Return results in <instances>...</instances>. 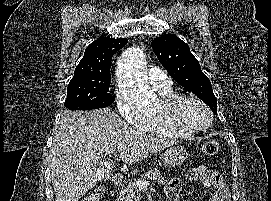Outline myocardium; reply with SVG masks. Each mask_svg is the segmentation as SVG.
I'll return each mask as SVG.
<instances>
[{
    "label": "myocardium",
    "instance_id": "f54148a6",
    "mask_svg": "<svg viewBox=\"0 0 271 201\" xmlns=\"http://www.w3.org/2000/svg\"><path fill=\"white\" fill-rule=\"evenodd\" d=\"M188 101L200 105L207 112L209 121L205 126L192 127L182 121L179 115V108L184 102ZM157 115L172 129L189 135L207 130L214 122L213 112L204 101L193 95L183 93H171L166 96H162L160 101V109L157 112Z\"/></svg>",
    "mask_w": 271,
    "mask_h": 201
}]
</instances>
